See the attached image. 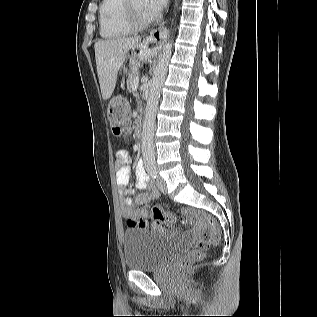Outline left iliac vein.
<instances>
[{"label": "left iliac vein", "instance_id": "obj_1", "mask_svg": "<svg viewBox=\"0 0 317 317\" xmlns=\"http://www.w3.org/2000/svg\"><path fill=\"white\" fill-rule=\"evenodd\" d=\"M156 183H157L158 189L162 193H166L167 192L166 183H165V181H164V179L162 177H158Z\"/></svg>", "mask_w": 317, "mask_h": 317}]
</instances>
